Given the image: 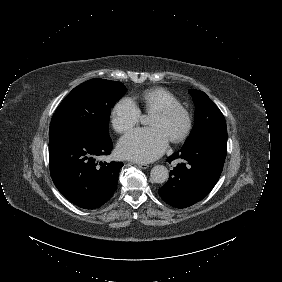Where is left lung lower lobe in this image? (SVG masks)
Listing matches in <instances>:
<instances>
[{"instance_id": "left-lung-lower-lobe-1", "label": "left lung lower lobe", "mask_w": 282, "mask_h": 282, "mask_svg": "<svg viewBox=\"0 0 282 282\" xmlns=\"http://www.w3.org/2000/svg\"><path fill=\"white\" fill-rule=\"evenodd\" d=\"M227 129L202 133L171 155L180 158L169 180L158 190L160 197L176 208H186L202 200L217 183L226 158Z\"/></svg>"}]
</instances>
